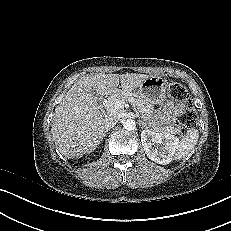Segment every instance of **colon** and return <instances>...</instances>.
Instances as JSON below:
<instances>
[{
    "label": "colon",
    "mask_w": 231,
    "mask_h": 231,
    "mask_svg": "<svg viewBox=\"0 0 231 231\" xmlns=\"http://www.w3.org/2000/svg\"><path fill=\"white\" fill-rule=\"evenodd\" d=\"M168 94L173 100L181 103L180 123L187 128L193 127L197 121V113L190 100L188 90L182 84L171 82L168 87Z\"/></svg>",
    "instance_id": "5ec220e1"
}]
</instances>
